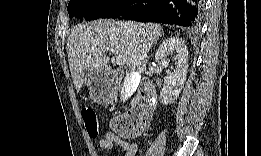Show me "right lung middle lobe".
<instances>
[{
	"mask_svg": "<svg viewBox=\"0 0 261 156\" xmlns=\"http://www.w3.org/2000/svg\"><path fill=\"white\" fill-rule=\"evenodd\" d=\"M118 0H70L68 13L70 18L94 20L102 17Z\"/></svg>",
	"mask_w": 261,
	"mask_h": 156,
	"instance_id": "dd1d6c3e",
	"label": "right lung middle lobe"
}]
</instances>
